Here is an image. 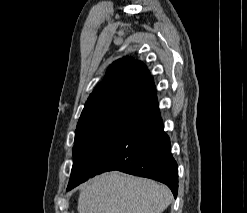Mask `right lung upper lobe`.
I'll use <instances>...</instances> for the list:
<instances>
[{
    "mask_svg": "<svg viewBox=\"0 0 247 213\" xmlns=\"http://www.w3.org/2000/svg\"><path fill=\"white\" fill-rule=\"evenodd\" d=\"M155 95V85L147 67L125 57L109 66L103 81L89 96L77 126L96 115L122 105H133Z\"/></svg>",
    "mask_w": 247,
    "mask_h": 213,
    "instance_id": "1",
    "label": "right lung upper lobe"
}]
</instances>
